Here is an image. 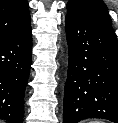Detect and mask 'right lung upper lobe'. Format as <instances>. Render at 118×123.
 I'll return each mask as SVG.
<instances>
[{"instance_id":"right-lung-upper-lobe-1","label":"right lung upper lobe","mask_w":118,"mask_h":123,"mask_svg":"<svg viewBox=\"0 0 118 123\" xmlns=\"http://www.w3.org/2000/svg\"><path fill=\"white\" fill-rule=\"evenodd\" d=\"M30 24L26 0H0V38L22 32Z\"/></svg>"}]
</instances>
